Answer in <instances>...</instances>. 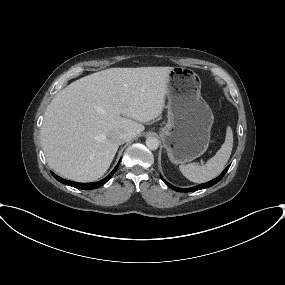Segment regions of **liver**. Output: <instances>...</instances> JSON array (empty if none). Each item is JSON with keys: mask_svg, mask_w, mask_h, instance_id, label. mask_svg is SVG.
Segmentation results:
<instances>
[{"mask_svg": "<svg viewBox=\"0 0 285 285\" xmlns=\"http://www.w3.org/2000/svg\"><path fill=\"white\" fill-rule=\"evenodd\" d=\"M172 67L108 68L80 78L48 105L41 143L48 165L61 176L92 182L118 150L116 130L138 136L142 123L161 115Z\"/></svg>", "mask_w": 285, "mask_h": 285, "instance_id": "obj_1", "label": "liver"}]
</instances>
